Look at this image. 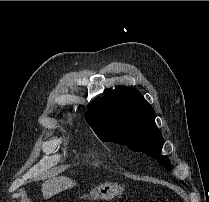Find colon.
Returning a JSON list of instances; mask_svg holds the SVG:
<instances>
[{
    "instance_id": "colon-1",
    "label": "colon",
    "mask_w": 209,
    "mask_h": 202,
    "mask_svg": "<svg viewBox=\"0 0 209 202\" xmlns=\"http://www.w3.org/2000/svg\"><path fill=\"white\" fill-rule=\"evenodd\" d=\"M146 202H157V201H155V200H148V201H146Z\"/></svg>"
}]
</instances>
